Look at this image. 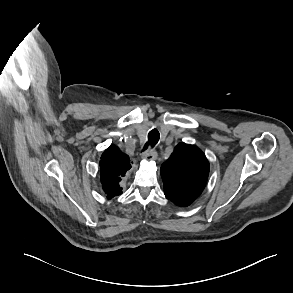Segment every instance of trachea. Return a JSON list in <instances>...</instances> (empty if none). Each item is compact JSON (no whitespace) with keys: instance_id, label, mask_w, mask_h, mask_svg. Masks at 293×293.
<instances>
[{"instance_id":"trachea-1","label":"trachea","mask_w":293,"mask_h":293,"mask_svg":"<svg viewBox=\"0 0 293 293\" xmlns=\"http://www.w3.org/2000/svg\"><path fill=\"white\" fill-rule=\"evenodd\" d=\"M160 139V134L157 129H152L148 133V142L145 144L143 151H146L149 146L154 147Z\"/></svg>"}]
</instances>
